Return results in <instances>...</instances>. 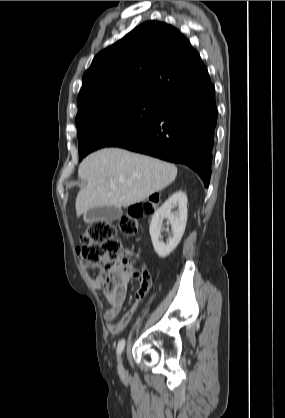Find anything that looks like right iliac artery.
I'll return each instance as SVG.
<instances>
[{
    "label": "right iliac artery",
    "mask_w": 285,
    "mask_h": 418,
    "mask_svg": "<svg viewBox=\"0 0 285 418\" xmlns=\"http://www.w3.org/2000/svg\"><path fill=\"white\" fill-rule=\"evenodd\" d=\"M124 347H125V340H124V339H121V340L118 342V346H117V354H120V353L123 351Z\"/></svg>",
    "instance_id": "right-iliac-artery-1"
}]
</instances>
